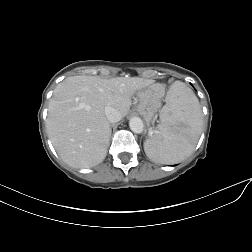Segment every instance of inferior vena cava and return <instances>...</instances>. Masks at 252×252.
<instances>
[{
	"mask_svg": "<svg viewBox=\"0 0 252 252\" xmlns=\"http://www.w3.org/2000/svg\"><path fill=\"white\" fill-rule=\"evenodd\" d=\"M104 112L110 123H116L122 118L121 113L113 107L106 106Z\"/></svg>",
	"mask_w": 252,
	"mask_h": 252,
	"instance_id": "inferior-vena-cava-1",
	"label": "inferior vena cava"
}]
</instances>
